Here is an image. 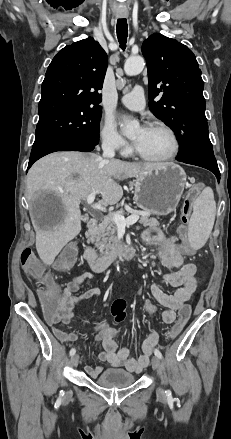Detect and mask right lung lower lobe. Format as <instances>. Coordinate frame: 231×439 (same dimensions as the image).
I'll return each instance as SVG.
<instances>
[{"label":"right lung lower lobe","instance_id":"1","mask_svg":"<svg viewBox=\"0 0 231 439\" xmlns=\"http://www.w3.org/2000/svg\"><path fill=\"white\" fill-rule=\"evenodd\" d=\"M96 145L84 142H75V141H66V142H57L51 143L47 145L33 147L28 163L29 169L32 164L37 161L39 158L56 151H82V152H90L94 149Z\"/></svg>","mask_w":231,"mask_h":439}]
</instances>
